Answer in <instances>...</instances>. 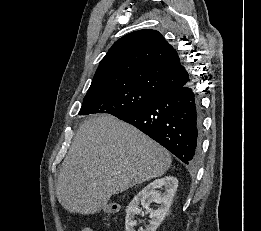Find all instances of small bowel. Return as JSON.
<instances>
[{
  "label": "small bowel",
  "instance_id": "obj_1",
  "mask_svg": "<svg viewBox=\"0 0 261 231\" xmlns=\"http://www.w3.org/2000/svg\"><path fill=\"white\" fill-rule=\"evenodd\" d=\"M82 231H96V230L90 227H85L82 229Z\"/></svg>",
  "mask_w": 261,
  "mask_h": 231
}]
</instances>
